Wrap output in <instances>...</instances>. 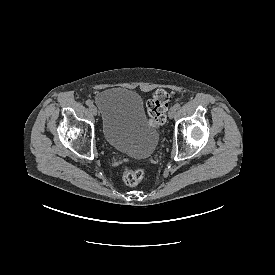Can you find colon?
Segmentation results:
<instances>
[{
    "mask_svg": "<svg viewBox=\"0 0 275 275\" xmlns=\"http://www.w3.org/2000/svg\"><path fill=\"white\" fill-rule=\"evenodd\" d=\"M169 102L170 95L165 90H157L147 102L149 124L152 127L157 128L166 122ZM144 175L143 169L133 166H125L121 170V179L128 186L139 185Z\"/></svg>",
    "mask_w": 275,
    "mask_h": 275,
    "instance_id": "5ec220e1",
    "label": "colon"
}]
</instances>
